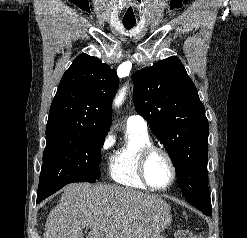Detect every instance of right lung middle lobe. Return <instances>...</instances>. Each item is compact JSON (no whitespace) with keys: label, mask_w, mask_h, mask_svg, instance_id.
Here are the masks:
<instances>
[{"label":"right lung middle lobe","mask_w":247,"mask_h":238,"mask_svg":"<svg viewBox=\"0 0 247 238\" xmlns=\"http://www.w3.org/2000/svg\"><path fill=\"white\" fill-rule=\"evenodd\" d=\"M106 131L80 128L46 134L37 201L71 182L100 178V153Z\"/></svg>","instance_id":"right-lung-middle-lobe-1"}]
</instances>
